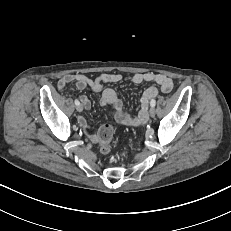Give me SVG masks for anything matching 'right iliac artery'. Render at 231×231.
<instances>
[{
	"label": "right iliac artery",
	"instance_id": "right-iliac-artery-1",
	"mask_svg": "<svg viewBox=\"0 0 231 231\" xmlns=\"http://www.w3.org/2000/svg\"><path fill=\"white\" fill-rule=\"evenodd\" d=\"M80 104V102L76 99L75 100V105H79Z\"/></svg>",
	"mask_w": 231,
	"mask_h": 231
}]
</instances>
